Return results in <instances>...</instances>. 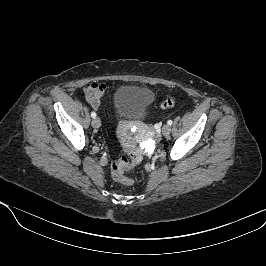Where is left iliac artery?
<instances>
[{
  "label": "left iliac artery",
  "instance_id": "44dca946",
  "mask_svg": "<svg viewBox=\"0 0 266 266\" xmlns=\"http://www.w3.org/2000/svg\"><path fill=\"white\" fill-rule=\"evenodd\" d=\"M172 123H173L172 120H168V121H167V124H168V125H172Z\"/></svg>",
  "mask_w": 266,
  "mask_h": 266
}]
</instances>
